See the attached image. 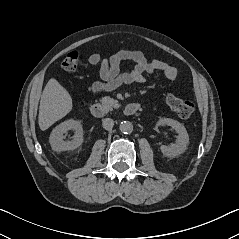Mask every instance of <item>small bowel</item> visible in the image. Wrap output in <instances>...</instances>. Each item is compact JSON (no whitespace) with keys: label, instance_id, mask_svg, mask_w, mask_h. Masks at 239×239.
<instances>
[{"label":"small bowel","instance_id":"obj_1","mask_svg":"<svg viewBox=\"0 0 239 239\" xmlns=\"http://www.w3.org/2000/svg\"><path fill=\"white\" fill-rule=\"evenodd\" d=\"M131 61L133 66L130 71L123 72L121 63ZM88 62L91 65L99 66L100 81H96L88 86V90L93 93L111 92L121 85L143 83L145 74L161 72L163 76L175 81L178 76L177 69L161 60H148L140 51L121 49L105 58L98 53L89 56Z\"/></svg>","mask_w":239,"mask_h":239}]
</instances>
